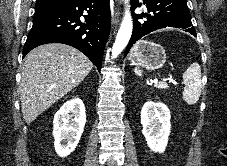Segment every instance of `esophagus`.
Segmentation results:
<instances>
[{"label":"esophagus","mask_w":227,"mask_h":166,"mask_svg":"<svg viewBox=\"0 0 227 166\" xmlns=\"http://www.w3.org/2000/svg\"><path fill=\"white\" fill-rule=\"evenodd\" d=\"M117 14H118V13H117ZM118 22H119V20H118V18H116V19H115V23H118Z\"/></svg>","instance_id":"esophagus-1"}]
</instances>
